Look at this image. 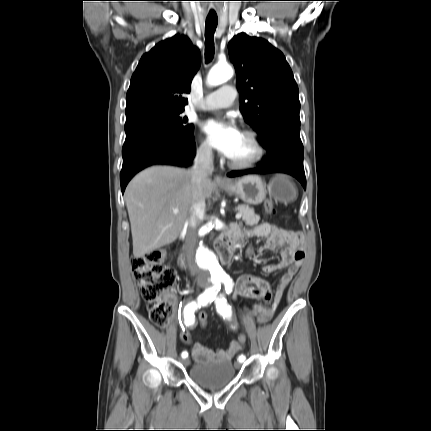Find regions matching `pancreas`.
Returning <instances> with one entry per match:
<instances>
[{
	"instance_id": "cf45deb5",
	"label": "pancreas",
	"mask_w": 431,
	"mask_h": 431,
	"mask_svg": "<svg viewBox=\"0 0 431 431\" xmlns=\"http://www.w3.org/2000/svg\"><path fill=\"white\" fill-rule=\"evenodd\" d=\"M238 211L242 213V219L246 225L253 226L258 224L260 216L254 213V209L250 208L248 205H239Z\"/></svg>"
}]
</instances>
